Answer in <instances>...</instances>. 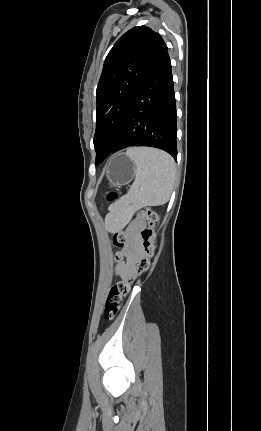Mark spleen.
I'll return each mask as SVG.
<instances>
[{"instance_id":"1","label":"spleen","mask_w":261,"mask_h":431,"mask_svg":"<svg viewBox=\"0 0 261 431\" xmlns=\"http://www.w3.org/2000/svg\"><path fill=\"white\" fill-rule=\"evenodd\" d=\"M126 155L135 164V180L127 195L113 206L112 212H134L145 206L165 204L171 195L176 177L173 158L152 148H129Z\"/></svg>"}]
</instances>
